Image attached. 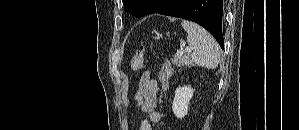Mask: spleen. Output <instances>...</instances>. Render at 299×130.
<instances>
[{
    "instance_id": "3e777b00",
    "label": "spleen",
    "mask_w": 299,
    "mask_h": 130,
    "mask_svg": "<svg viewBox=\"0 0 299 130\" xmlns=\"http://www.w3.org/2000/svg\"><path fill=\"white\" fill-rule=\"evenodd\" d=\"M187 32V43L193 49L192 61L197 65L207 69H215L219 64V45L204 28L183 20L181 23Z\"/></svg>"
}]
</instances>
